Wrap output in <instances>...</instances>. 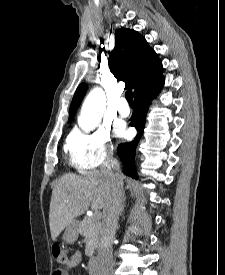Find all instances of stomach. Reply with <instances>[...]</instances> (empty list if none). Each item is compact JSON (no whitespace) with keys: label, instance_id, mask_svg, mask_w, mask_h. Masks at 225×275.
Returning a JSON list of instances; mask_svg holds the SVG:
<instances>
[{"label":"stomach","instance_id":"stomach-1","mask_svg":"<svg viewBox=\"0 0 225 275\" xmlns=\"http://www.w3.org/2000/svg\"><path fill=\"white\" fill-rule=\"evenodd\" d=\"M78 238V224L76 222L70 223L64 233H63V239L67 243H74Z\"/></svg>","mask_w":225,"mask_h":275}]
</instances>
